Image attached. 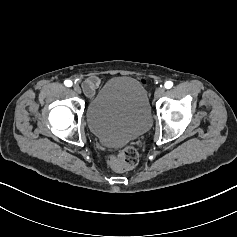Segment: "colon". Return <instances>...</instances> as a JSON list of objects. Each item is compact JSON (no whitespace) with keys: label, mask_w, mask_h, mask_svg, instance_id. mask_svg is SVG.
<instances>
[{"label":"colon","mask_w":237,"mask_h":237,"mask_svg":"<svg viewBox=\"0 0 237 237\" xmlns=\"http://www.w3.org/2000/svg\"><path fill=\"white\" fill-rule=\"evenodd\" d=\"M139 161L138 151L132 147L127 146L117 153L108 156V165L116 171H128L133 169Z\"/></svg>","instance_id":"colon-1"}]
</instances>
